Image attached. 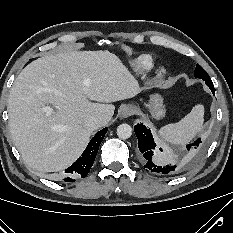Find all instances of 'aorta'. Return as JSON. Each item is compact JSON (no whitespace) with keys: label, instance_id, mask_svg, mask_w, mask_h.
<instances>
[{"label":"aorta","instance_id":"aorta-1","mask_svg":"<svg viewBox=\"0 0 233 233\" xmlns=\"http://www.w3.org/2000/svg\"><path fill=\"white\" fill-rule=\"evenodd\" d=\"M117 135L120 139H128L132 135V128L128 124H120L117 127Z\"/></svg>","mask_w":233,"mask_h":233}]
</instances>
